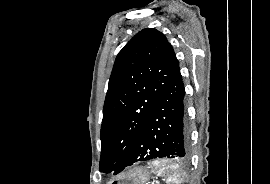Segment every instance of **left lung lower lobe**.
<instances>
[{
  "instance_id": "0a47b994",
  "label": "left lung lower lobe",
  "mask_w": 270,
  "mask_h": 184,
  "mask_svg": "<svg viewBox=\"0 0 270 184\" xmlns=\"http://www.w3.org/2000/svg\"><path fill=\"white\" fill-rule=\"evenodd\" d=\"M189 157L190 131L179 68L159 98L124 168L139 161L158 158L187 161Z\"/></svg>"
}]
</instances>
